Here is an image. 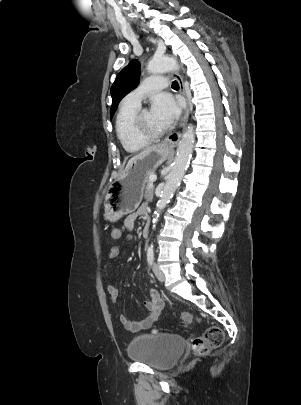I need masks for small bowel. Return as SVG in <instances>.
Wrapping results in <instances>:
<instances>
[{
    "label": "small bowel",
    "instance_id": "1",
    "mask_svg": "<svg viewBox=\"0 0 301 405\" xmlns=\"http://www.w3.org/2000/svg\"><path fill=\"white\" fill-rule=\"evenodd\" d=\"M147 207L145 205L141 206L136 212L130 213L126 216L124 220V228L126 231L131 232L135 227V222L138 216H146ZM117 235L111 236L113 244L109 250V258H116L121 250V246L117 243L121 237L122 232L118 229ZM130 238V235L128 236ZM107 292L113 302H116L119 297V289L114 284L109 283L107 285ZM144 306L148 311V314L140 320H130L125 315L120 316V321L123 326L131 332H137L140 330L148 329L152 324L158 319L163 309V302L155 289L149 291L148 299L144 301Z\"/></svg>",
    "mask_w": 301,
    "mask_h": 405
}]
</instances>
